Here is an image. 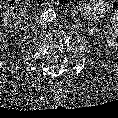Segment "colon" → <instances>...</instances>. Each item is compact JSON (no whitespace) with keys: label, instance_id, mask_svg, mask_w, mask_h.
<instances>
[{"label":"colon","instance_id":"obj_1","mask_svg":"<svg viewBox=\"0 0 118 118\" xmlns=\"http://www.w3.org/2000/svg\"><path fill=\"white\" fill-rule=\"evenodd\" d=\"M24 13L23 3L19 0H12L4 14V24L8 27L15 26L19 23Z\"/></svg>","mask_w":118,"mask_h":118}]
</instances>
